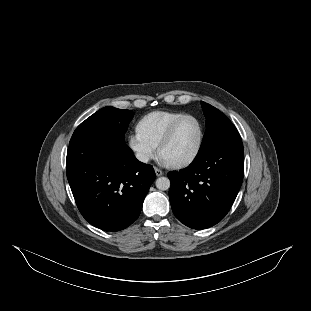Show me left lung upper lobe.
<instances>
[{
  "label": "left lung upper lobe",
  "instance_id": "5c2ea615",
  "mask_svg": "<svg viewBox=\"0 0 311 311\" xmlns=\"http://www.w3.org/2000/svg\"><path fill=\"white\" fill-rule=\"evenodd\" d=\"M201 106L206 117V132L197 157L225 143L241 140L237 129L225 114L202 101Z\"/></svg>",
  "mask_w": 311,
  "mask_h": 311
}]
</instances>
